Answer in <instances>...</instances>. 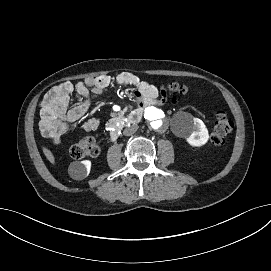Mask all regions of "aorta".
<instances>
[{
	"instance_id": "aorta-1",
	"label": "aorta",
	"mask_w": 271,
	"mask_h": 271,
	"mask_svg": "<svg viewBox=\"0 0 271 271\" xmlns=\"http://www.w3.org/2000/svg\"><path fill=\"white\" fill-rule=\"evenodd\" d=\"M143 116L150 130L165 131L168 127V112L158 106L150 105L143 109Z\"/></svg>"
}]
</instances>
